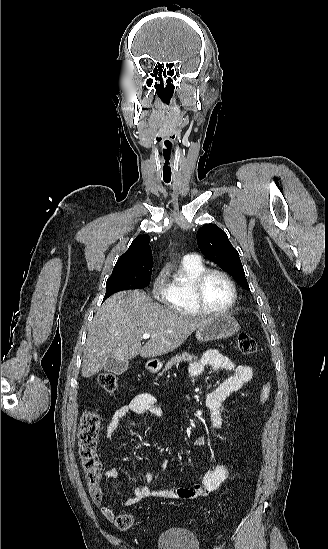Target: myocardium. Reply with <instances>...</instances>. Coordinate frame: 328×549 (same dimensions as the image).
I'll list each match as a JSON object with an SVG mask.
<instances>
[{
	"label": "myocardium",
	"instance_id": "f54148a6",
	"mask_svg": "<svg viewBox=\"0 0 328 549\" xmlns=\"http://www.w3.org/2000/svg\"><path fill=\"white\" fill-rule=\"evenodd\" d=\"M214 273L220 274L223 277H225L232 289V297L230 302L220 310L207 309L201 306L206 304L203 298V285L207 277ZM191 297L193 300V304L190 305V308L193 311H195L198 315L222 317L229 314L234 309L238 299V287L234 278L227 270H225L223 267L218 265H210V266H206L193 278L192 284H191Z\"/></svg>",
	"mask_w": 328,
	"mask_h": 549
}]
</instances>
